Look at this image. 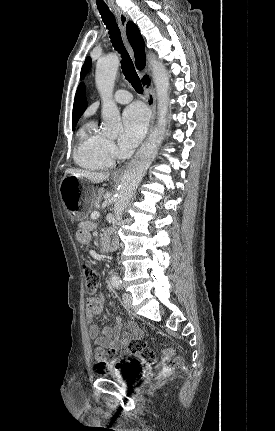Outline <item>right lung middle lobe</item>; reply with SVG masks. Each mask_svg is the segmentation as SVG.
<instances>
[{"instance_id":"dd1d6c3e","label":"right lung middle lobe","mask_w":275,"mask_h":431,"mask_svg":"<svg viewBox=\"0 0 275 431\" xmlns=\"http://www.w3.org/2000/svg\"><path fill=\"white\" fill-rule=\"evenodd\" d=\"M75 128V125H72V129H74Z\"/></svg>"}]
</instances>
